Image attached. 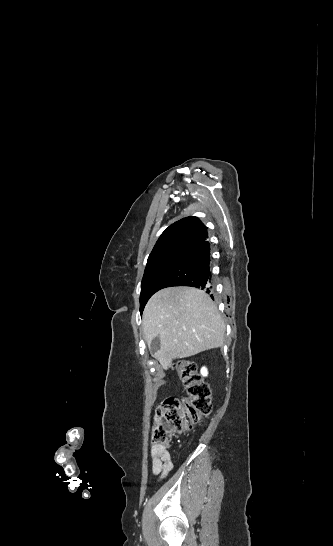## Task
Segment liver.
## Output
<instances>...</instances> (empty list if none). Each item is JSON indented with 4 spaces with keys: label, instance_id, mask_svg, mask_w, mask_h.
Here are the masks:
<instances>
[{
    "label": "liver",
    "instance_id": "liver-1",
    "mask_svg": "<svg viewBox=\"0 0 333 546\" xmlns=\"http://www.w3.org/2000/svg\"><path fill=\"white\" fill-rule=\"evenodd\" d=\"M149 348L156 337L154 354L164 369L172 361L223 345L225 324L209 295L194 287H168L155 293L143 312Z\"/></svg>",
    "mask_w": 333,
    "mask_h": 546
}]
</instances>
